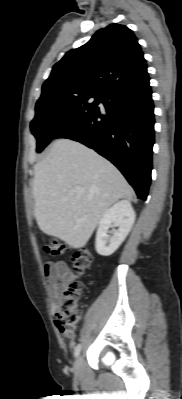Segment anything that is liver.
Returning <instances> with one entry per match:
<instances>
[{"instance_id":"obj_1","label":"liver","mask_w":182,"mask_h":399,"mask_svg":"<svg viewBox=\"0 0 182 399\" xmlns=\"http://www.w3.org/2000/svg\"><path fill=\"white\" fill-rule=\"evenodd\" d=\"M33 195L40 230L77 249L88 242L108 208L119 199L131 200L134 191L95 151L58 139L34 166Z\"/></svg>"}]
</instances>
